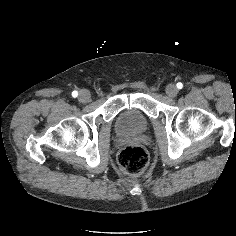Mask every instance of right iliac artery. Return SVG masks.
Masks as SVG:
<instances>
[{
    "mask_svg": "<svg viewBox=\"0 0 236 236\" xmlns=\"http://www.w3.org/2000/svg\"><path fill=\"white\" fill-rule=\"evenodd\" d=\"M72 96H73L74 98H76V97L78 96V92H77V91H73V92H72Z\"/></svg>",
    "mask_w": 236,
    "mask_h": 236,
    "instance_id": "obj_1",
    "label": "right iliac artery"
}]
</instances>
